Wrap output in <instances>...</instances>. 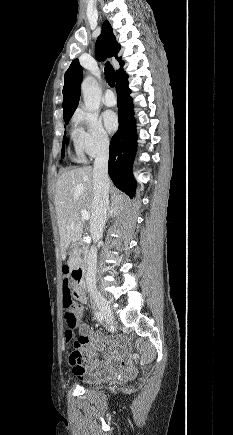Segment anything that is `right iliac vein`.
Here are the masks:
<instances>
[{
  "label": "right iliac vein",
  "instance_id": "obj_1",
  "mask_svg": "<svg viewBox=\"0 0 233 435\" xmlns=\"http://www.w3.org/2000/svg\"><path fill=\"white\" fill-rule=\"evenodd\" d=\"M92 297L101 311L102 315L105 317L108 324L113 322V314L110 308L108 301L105 299L103 295L98 292L92 293Z\"/></svg>",
  "mask_w": 233,
  "mask_h": 435
}]
</instances>
